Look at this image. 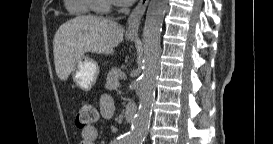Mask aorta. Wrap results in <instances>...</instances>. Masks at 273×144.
<instances>
[{
  "instance_id": "obj_1",
  "label": "aorta",
  "mask_w": 273,
  "mask_h": 144,
  "mask_svg": "<svg viewBox=\"0 0 273 144\" xmlns=\"http://www.w3.org/2000/svg\"><path fill=\"white\" fill-rule=\"evenodd\" d=\"M168 0H151L143 29V71L139 82V107L131 130L120 138V144H142L145 140L155 100L160 68V34Z\"/></svg>"
}]
</instances>
